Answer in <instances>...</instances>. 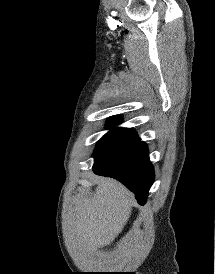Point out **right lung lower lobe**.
<instances>
[{
    "mask_svg": "<svg viewBox=\"0 0 215 274\" xmlns=\"http://www.w3.org/2000/svg\"><path fill=\"white\" fill-rule=\"evenodd\" d=\"M93 171L98 175L115 178L135 193L139 204L144 205L154 181V170L149 160L147 145L139 140L121 159L109 166L95 160Z\"/></svg>",
    "mask_w": 215,
    "mask_h": 274,
    "instance_id": "1",
    "label": "right lung lower lobe"
}]
</instances>
